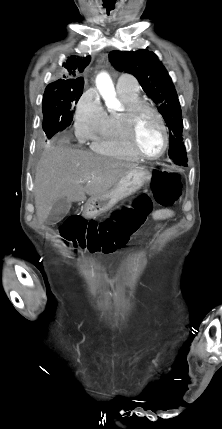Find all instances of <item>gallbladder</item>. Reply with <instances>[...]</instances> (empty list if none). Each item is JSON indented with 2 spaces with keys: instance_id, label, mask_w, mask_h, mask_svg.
I'll return each mask as SVG.
<instances>
[{
  "instance_id": "1",
  "label": "gallbladder",
  "mask_w": 222,
  "mask_h": 429,
  "mask_svg": "<svg viewBox=\"0 0 222 429\" xmlns=\"http://www.w3.org/2000/svg\"><path fill=\"white\" fill-rule=\"evenodd\" d=\"M71 208V201L66 197L61 198L54 202L53 207L48 215L47 222L55 224L61 221L69 212Z\"/></svg>"
}]
</instances>
